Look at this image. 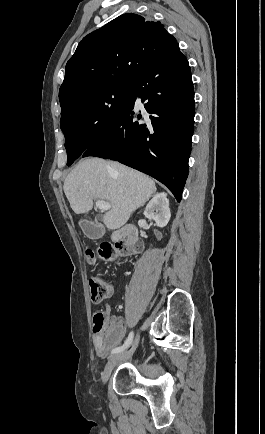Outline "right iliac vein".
<instances>
[{
	"mask_svg": "<svg viewBox=\"0 0 265 434\" xmlns=\"http://www.w3.org/2000/svg\"><path fill=\"white\" fill-rule=\"evenodd\" d=\"M139 337H140V334L138 333L135 337V340L131 344L130 348H128V349H126V350H124L118 354H115L109 358V360H108V362L104 368V371L102 373V383L103 384H105L108 381L114 367L120 361H123L124 359L129 358L134 353L135 348H136L138 341H139Z\"/></svg>",
	"mask_w": 265,
	"mask_h": 434,
	"instance_id": "1",
	"label": "right iliac vein"
}]
</instances>
